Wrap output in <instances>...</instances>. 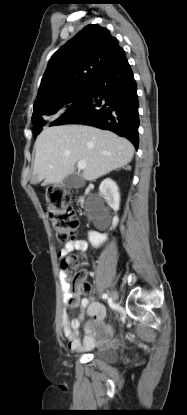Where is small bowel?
Returning <instances> with one entry per match:
<instances>
[{
  "label": "small bowel",
  "instance_id": "1",
  "mask_svg": "<svg viewBox=\"0 0 187 415\" xmlns=\"http://www.w3.org/2000/svg\"><path fill=\"white\" fill-rule=\"evenodd\" d=\"M87 242L82 239L69 241L59 252L61 258H69L68 255L73 251H86ZM61 288L63 292V301L68 309L80 307L77 317L70 319L67 315L62 318V330L68 340L71 350L82 351L91 350L95 346L115 345L116 342L109 338L111 327L105 322V307L94 299V297L80 298L79 294L72 293L70 285L67 282L65 271L60 272ZM85 315L89 320L84 328V337L79 334L80 327Z\"/></svg>",
  "mask_w": 187,
  "mask_h": 415
}]
</instances>
